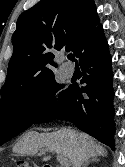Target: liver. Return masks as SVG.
<instances>
[{
	"instance_id": "1",
	"label": "liver",
	"mask_w": 125,
	"mask_h": 167,
	"mask_svg": "<svg viewBox=\"0 0 125 167\" xmlns=\"http://www.w3.org/2000/svg\"><path fill=\"white\" fill-rule=\"evenodd\" d=\"M40 148L56 152L68 158L72 167H81L92 157L106 156L107 151L91 136L70 128H60L53 132L29 131L13 147L20 155H36ZM48 161L49 157H44Z\"/></svg>"
}]
</instances>
